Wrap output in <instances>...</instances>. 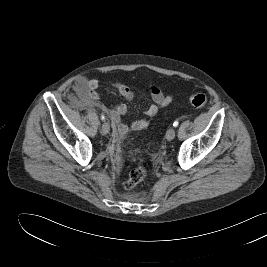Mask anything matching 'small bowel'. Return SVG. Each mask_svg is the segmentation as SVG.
I'll use <instances>...</instances> for the list:
<instances>
[{
  "label": "small bowel",
  "mask_w": 267,
  "mask_h": 267,
  "mask_svg": "<svg viewBox=\"0 0 267 267\" xmlns=\"http://www.w3.org/2000/svg\"><path fill=\"white\" fill-rule=\"evenodd\" d=\"M98 85L99 81L97 79L79 78L73 86V91L79 95L86 104L106 112L119 135H125L129 130H143L149 126V121L146 119L134 120L130 125L125 124L121 116L127 113V106L125 104L107 105L100 103L99 94L97 92ZM116 87L127 101L133 100L134 92L126 82L117 83ZM149 94L154 103L145 109L144 113L150 118L156 117L161 110L166 109L175 101L174 97L165 95L160 88L154 85L149 87Z\"/></svg>",
  "instance_id": "small-bowel-1"
}]
</instances>
